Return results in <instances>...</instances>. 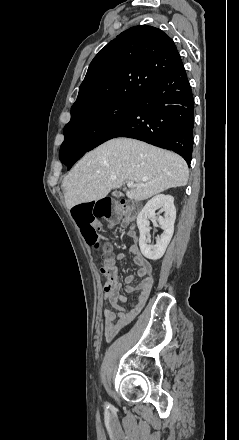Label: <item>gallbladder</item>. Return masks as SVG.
Listing matches in <instances>:
<instances>
[{
    "label": "gallbladder",
    "mask_w": 239,
    "mask_h": 440,
    "mask_svg": "<svg viewBox=\"0 0 239 440\" xmlns=\"http://www.w3.org/2000/svg\"><path fill=\"white\" fill-rule=\"evenodd\" d=\"M115 197L119 198L120 197V190H115Z\"/></svg>",
    "instance_id": "gallbladder-1"
}]
</instances>
